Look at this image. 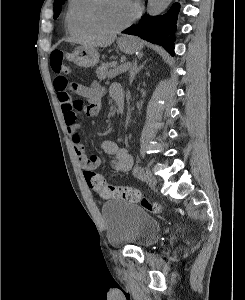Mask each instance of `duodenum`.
I'll list each match as a JSON object with an SVG mask.
<instances>
[{"label": "duodenum", "instance_id": "obj_1", "mask_svg": "<svg viewBox=\"0 0 245 300\" xmlns=\"http://www.w3.org/2000/svg\"><path fill=\"white\" fill-rule=\"evenodd\" d=\"M114 100L116 102L118 111L120 113H122L123 110H124V95H123V93L122 92H116L115 95H114Z\"/></svg>", "mask_w": 245, "mask_h": 300}]
</instances>
